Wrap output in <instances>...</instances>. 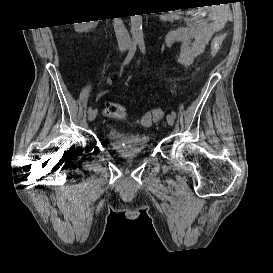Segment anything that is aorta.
<instances>
[{"label":"aorta","mask_w":273,"mask_h":273,"mask_svg":"<svg viewBox=\"0 0 273 273\" xmlns=\"http://www.w3.org/2000/svg\"><path fill=\"white\" fill-rule=\"evenodd\" d=\"M132 25V39L135 42L143 41L142 15L130 16Z\"/></svg>","instance_id":"762f6f07"}]
</instances>
